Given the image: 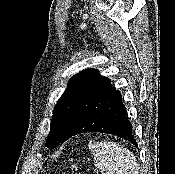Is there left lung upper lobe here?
I'll use <instances>...</instances> for the list:
<instances>
[{"label":"left lung upper lobe","instance_id":"obj_1","mask_svg":"<svg viewBox=\"0 0 175 174\" xmlns=\"http://www.w3.org/2000/svg\"><path fill=\"white\" fill-rule=\"evenodd\" d=\"M106 79L97 69H85L72 77L53 111L47 147L53 149L63 143L65 129L79 101Z\"/></svg>","mask_w":175,"mask_h":174}]
</instances>
